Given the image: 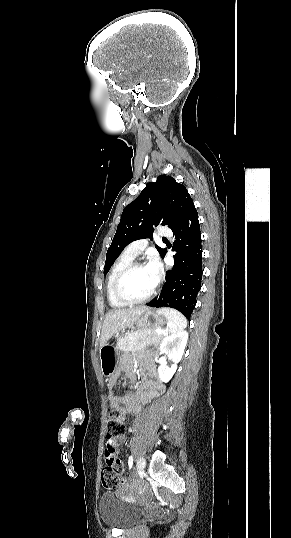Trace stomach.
<instances>
[{
	"label": "stomach",
	"instance_id": "1",
	"mask_svg": "<svg viewBox=\"0 0 291 538\" xmlns=\"http://www.w3.org/2000/svg\"><path fill=\"white\" fill-rule=\"evenodd\" d=\"M167 318L158 311H145L135 323L137 329L162 328L167 323ZM119 337V335H117ZM101 372L106 379L114 376L118 366V350L113 344L106 343L100 348Z\"/></svg>",
	"mask_w": 291,
	"mask_h": 538
}]
</instances>
